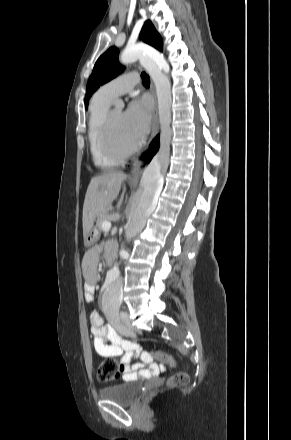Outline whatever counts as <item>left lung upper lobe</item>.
<instances>
[{
  "label": "left lung upper lobe",
  "mask_w": 291,
  "mask_h": 440,
  "mask_svg": "<svg viewBox=\"0 0 291 440\" xmlns=\"http://www.w3.org/2000/svg\"><path fill=\"white\" fill-rule=\"evenodd\" d=\"M140 39L160 51L163 50L162 38L151 21L145 22L140 33ZM122 71L123 67H121L118 62V49L115 47L109 48L99 57L89 77L85 95V106L88 105L90 97L101 85L109 82Z\"/></svg>",
  "instance_id": "obj_1"
}]
</instances>
